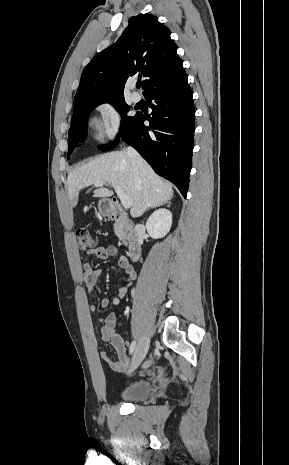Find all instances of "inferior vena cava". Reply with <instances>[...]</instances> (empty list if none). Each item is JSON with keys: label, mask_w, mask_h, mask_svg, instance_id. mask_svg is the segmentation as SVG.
Here are the masks:
<instances>
[{"label": "inferior vena cava", "mask_w": 289, "mask_h": 465, "mask_svg": "<svg viewBox=\"0 0 289 465\" xmlns=\"http://www.w3.org/2000/svg\"><path fill=\"white\" fill-rule=\"evenodd\" d=\"M127 154L132 162V165L134 166V169L138 170V168L141 167L143 164V159L141 158L139 153L134 148L128 147Z\"/></svg>", "instance_id": "inferior-vena-cava-1"}]
</instances>
